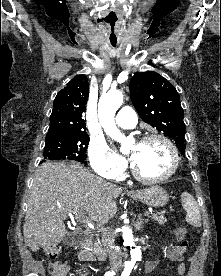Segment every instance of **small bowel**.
Wrapping results in <instances>:
<instances>
[{
    "label": "small bowel",
    "instance_id": "obj_1",
    "mask_svg": "<svg viewBox=\"0 0 221 276\" xmlns=\"http://www.w3.org/2000/svg\"><path fill=\"white\" fill-rule=\"evenodd\" d=\"M185 254L186 248L179 245L170 247L167 252L168 259L177 263L176 274L179 276L183 275L186 271V267L183 262ZM77 255L81 261H94V257L88 252L80 250ZM157 264L158 260L147 261L145 265V273H150L157 266Z\"/></svg>",
    "mask_w": 221,
    "mask_h": 276
}]
</instances>
